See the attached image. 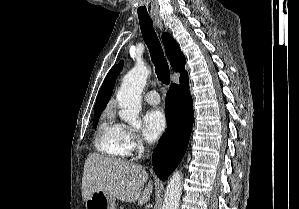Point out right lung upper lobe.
Masks as SVG:
<instances>
[{
	"label": "right lung upper lobe",
	"mask_w": 299,
	"mask_h": 209,
	"mask_svg": "<svg viewBox=\"0 0 299 209\" xmlns=\"http://www.w3.org/2000/svg\"><path fill=\"white\" fill-rule=\"evenodd\" d=\"M162 41L165 47L166 55L173 70L180 72V82L188 79L187 72L184 70L185 67V57L181 52L176 41L168 33L162 34ZM123 63L120 62L118 66L112 67V69L107 74L104 83L97 96L96 105L94 109L95 112H102L106 107L109 98L112 94L113 87L115 84V79L119 71L122 69Z\"/></svg>",
	"instance_id": "obj_1"
}]
</instances>
